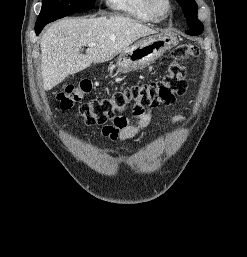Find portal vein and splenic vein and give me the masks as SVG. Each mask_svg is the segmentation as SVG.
Listing matches in <instances>:
<instances>
[{
  "instance_id": "1",
  "label": "portal vein and splenic vein",
  "mask_w": 247,
  "mask_h": 257,
  "mask_svg": "<svg viewBox=\"0 0 247 257\" xmlns=\"http://www.w3.org/2000/svg\"><path fill=\"white\" fill-rule=\"evenodd\" d=\"M95 43H89L88 46H95Z\"/></svg>"
}]
</instances>
